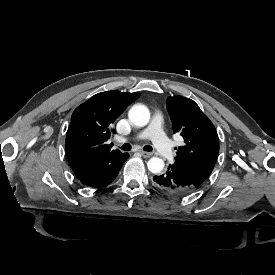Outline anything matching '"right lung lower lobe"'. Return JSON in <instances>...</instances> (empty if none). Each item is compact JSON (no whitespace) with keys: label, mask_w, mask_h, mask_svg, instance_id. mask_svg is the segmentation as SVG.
Returning <instances> with one entry per match:
<instances>
[{"label":"right lung lower lobe","mask_w":275,"mask_h":275,"mask_svg":"<svg viewBox=\"0 0 275 275\" xmlns=\"http://www.w3.org/2000/svg\"><path fill=\"white\" fill-rule=\"evenodd\" d=\"M128 153L111 152L69 162L76 178L84 185L100 188L109 185L118 175Z\"/></svg>","instance_id":"right-lung-lower-lobe-1"}]
</instances>
